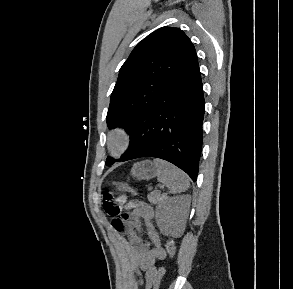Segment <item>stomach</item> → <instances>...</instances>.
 <instances>
[{
  "instance_id": "0dacf381",
  "label": "stomach",
  "mask_w": 293,
  "mask_h": 289,
  "mask_svg": "<svg viewBox=\"0 0 293 289\" xmlns=\"http://www.w3.org/2000/svg\"><path fill=\"white\" fill-rule=\"evenodd\" d=\"M131 174L138 180H149L157 175V170L152 161L137 162L132 166Z\"/></svg>"
}]
</instances>
